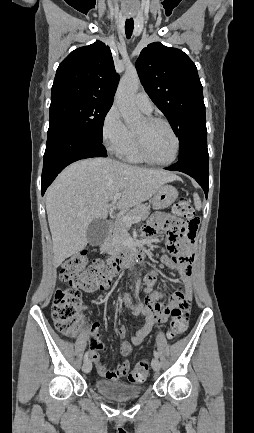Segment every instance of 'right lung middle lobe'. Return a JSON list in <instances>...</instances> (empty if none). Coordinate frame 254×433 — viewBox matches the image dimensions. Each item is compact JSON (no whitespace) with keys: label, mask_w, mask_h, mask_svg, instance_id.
I'll list each match as a JSON object with an SVG mask.
<instances>
[{"label":"right lung middle lobe","mask_w":254,"mask_h":433,"mask_svg":"<svg viewBox=\"0 0 254 433\" xmlns=\"http://www.w3.org/2000/svg\"><path fill=\"white\" fill-rule=\"evenodd\" d=\"M111 106L93 100L61 101L50 105V124L69 125L102 142L104 118Z\"/></svg>","instance_id":"right-lung-middle-lobe-1"}]
</instances>
